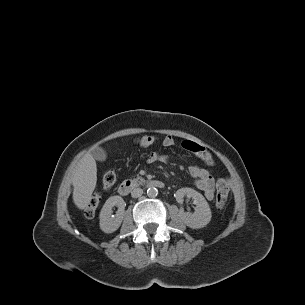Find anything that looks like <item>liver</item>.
<instances>
[{
	"label": "liver",
	"mask_w": 305,
	"mask_h": 305,
	"mask_svg": "<svg viewBox=\"0 0 305 305\" xmlns=\"http://www.w3.org/2000/svg\"><path fill=\"white\" fill-rule=\"evenodd\" d=\"M97 183V165L94 157L85 153L79 160L73 177V201L79 209H84L91 200Z\"/></svg>",
	"instance_id": "6515ba94"
}]
</instances>
